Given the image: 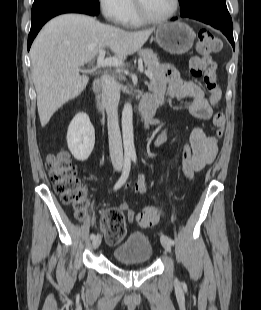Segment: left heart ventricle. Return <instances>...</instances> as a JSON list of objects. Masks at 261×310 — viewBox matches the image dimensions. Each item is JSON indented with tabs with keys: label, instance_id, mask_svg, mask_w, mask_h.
Returning <instances> with one entry per match:
<instances>
[{
	"label": "left heart ventricle",
	"instance_id": "b2bd125f",
	"mask_svg": "<svg viewBox=\"0 0 261 310\" xmlns=\"http://www.w3.org/2000/svg\"><path fill=\"white\" fill-rule=\"evenodd\" d=\"M145 12L154 18L169 14L174 6V0H140Z\"/></svg>",
	"mask_w": 261,
	"mask_h": 310
}]
</instances>
